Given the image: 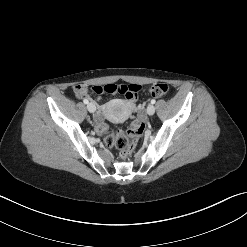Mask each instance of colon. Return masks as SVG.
Listing matches in <instances>:
<instances>
[{
  "label": "colon",
  "instance_id": "obj_1",
  "mask_svg": "<svg viewBox=\"0 0 247 247\" xmlns=\"http://www.w3.org/2000/svg\"><path fill=\"white\" fill-rule=\"evenodd\" d=\"M76 90L83 91V85H77ZM144 93L150 92L153 97H163L169 92V87L164 83H156L148 87L142 88L141 86L134 84H107L103 86H94L92 92L95 95L108 93V94H121L124 95L128 102L131 104H138V92ZM144 123L139 118L132 121L124 130H120L113 133L108 125L103 124L100 128L104 135V143L108 147L116 148L123 157H128L137 143L141 138L144 131Z\"/></svg>",
  "mask_w": 247,
  "mask_h": 247
}]
</instances>
